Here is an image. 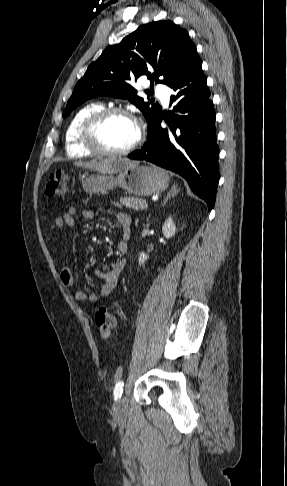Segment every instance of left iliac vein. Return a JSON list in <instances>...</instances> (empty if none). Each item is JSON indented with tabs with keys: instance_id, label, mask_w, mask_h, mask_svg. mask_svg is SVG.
Masks as SVG:
<instances>
[{
	"instance_id": "4c4485c4",
	"label": "left iliac vein",
	"mask_w": 287,
	"mask_h": 486,
	"mask_svg": "<svg viewBox=\"0 0 287 486\" xmlns=\"http://www.w3.org/2000/svg\"><path fill=\"white\" fill-rule=\"evenodd\" d=\"M114 415L116 418L120 419V418H124L126 416V413H127V403H126V398L123 396V397H120L119 399H117L114 403Z\"/></svg>"
}]
</instances>
